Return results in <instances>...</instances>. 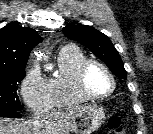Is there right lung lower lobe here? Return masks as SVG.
<instances>
[{
  "mask_svg": "<svg viewBox=\"0 0 153 134\" xmlns=\"http://www.w3.org/2000/svg\"><path fill=\"white\" fill-rule=\"evenodd\" d=\"M20 116L18 111L0 110V117L19 118Z\"/></svg>",
  "mask_w": 153,
  "mask_h": 134,
  "instance_id": "98d812e1",
  "label": "right lung lower lobe"
}]
</instances>
